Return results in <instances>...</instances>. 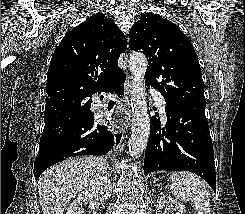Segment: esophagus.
I'll use <instances>...</instances> for the list:
<instances>
[{
    "label": "esophagus",
    "mask_w": 245,
    "mask_h": 214,
    "mask_svg": "<svg viewBox=\"0 0 245 214\" xmlns=\"http://www.w3.org/2000/svg\"><path fill=\"white\" fill-rule=\"evenodd\" d=\"M130 88H131L130 76L127 75L124 94L119 100L120 105L123 106L124 115H123V118L122 116L120 118V123H119L120 125H115V127L113 128L114 148L115 149H118L120 147L124 139L123 124L125 125V122L127 124L130 123V118H131Z\"/></svg>",
    "instance_id": "34e87169"
}]
</instances>
